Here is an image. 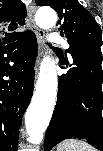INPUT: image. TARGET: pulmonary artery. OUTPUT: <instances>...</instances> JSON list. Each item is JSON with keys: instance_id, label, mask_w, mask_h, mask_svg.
<instances>
[{"instance_id": "obj_1", "label": "pulmonary artery", "mask_w": 103, "mask_h": 151, "mask_svg": "<svg viewBox=\"0 0 103 151\" xmlns=\"http://www.w3.org/2000/svg\"><path fill=\"white\" fill-rule=\"evenodd\" d=\"M50 40L53 42V43H61L63 44V46L65 48H68L69 47V44L58 34V33H52L50 35Z\"/></svg>"}]
</instances>
